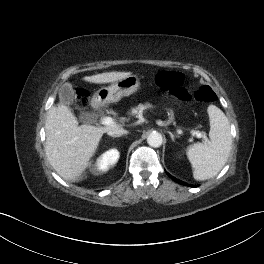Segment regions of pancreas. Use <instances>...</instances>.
Masks as SVG:
<instances>
[{
  "label": "pancreas",
  "mask_w": 264,
  "mask_h": 264,
  "mask_svg": "<svg viewBox=\"0 0 264 264\" xmlns=\"http://www.w3.org/2000/svg\"><path fill=\"white\" fill-rule=\"evenodd\" d=\"M152 107L149 103L139 104L137 107L133 108L130 112L131 115H138L143 112V110ZM171 122V120L169 121Z\"/></svg>",
  "instance_id": "cf45deb5"
}]
</instances>
